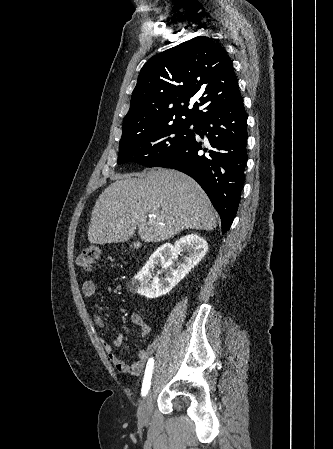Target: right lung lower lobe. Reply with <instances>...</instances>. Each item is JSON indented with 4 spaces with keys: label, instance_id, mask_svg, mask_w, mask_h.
Wrapping results in <instances>:
<instances>
[{
    "label": "right lung lower lobe",
    "instance_id": "1",
    "mask_svg": "<svg viewBox=\"0 0 333 449\" xmlns=\"http://www.w3.org/2000/svg\"><path fill=\"white\" fill-rule=\"evenodd\" d=\"M247 113L238 95L208 112L194 134L158 167L171 168L191 176L207 193L219 213L222 233L229 230L240 201L245 180Z\"/></svg>",
    "mask_w": 333,
    "mask_h": 449
}]
</instances>
